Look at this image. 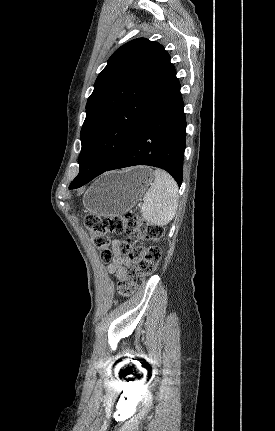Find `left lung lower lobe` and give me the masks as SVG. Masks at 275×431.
Here are the masks:
<instances>
[{
  "instance_id": "left-lung-lower-lobe-1",
  "label": "left lung lower lobe",
  "mask_w": 275,
  "mask_h": 431,
  "mask_svg": "<svg viewBox=\"0 0 275 431\" xmlns=\"http://www.w3.org/2000/svg\"><path fill=\"white\" fill-rule=\"evenodd\" d=\"M180 88L176 79L173 89L112 165L94 175L79 173L69 189L79 188L105 171L134 165L164 169L180 186L186 136V118Z\"/></svg>"
}]
</instances>
